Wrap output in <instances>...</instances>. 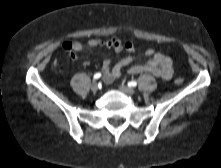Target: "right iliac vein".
<instances>
[{"mask_svg": "<svg viewBox=\"0 0 221 168\" xmlns=\"http://www.w3.org/2000/svg\"><path fill=\"white\" fill-rule=\"evenodd\" d=\"M91 90L93 92H97L98 91V84L96 82H93L91 85Z\"/></svg>", "mask_w": 221, "mask_h": 168, "instance_id": "obj_1", "label": "right iliac vein"}]
</instances>
